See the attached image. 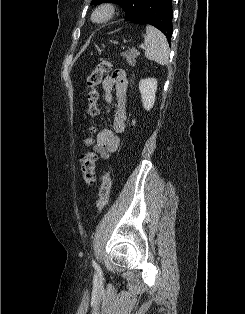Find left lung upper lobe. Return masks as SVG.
I'll use <instances>...</instances> for the list:
<instances>
[{
	"label": "left lung upper lobe",
	"instance_id": "5c2ea615",
	"mask_svg": "<svg viewBox=\"0 0 245 314\" xmlns=\"http://www.w3.org/2000/svg\"><path fill=\"white\" fill-rule=\"evenodd\" d=\"M103 2H112L120 5L125 11V19L135 15L140 9L144 0H92L91 4H101Z\"/></svg>",
	"mask_w": 245,
	"mask_h": 314
}]
</instances>
